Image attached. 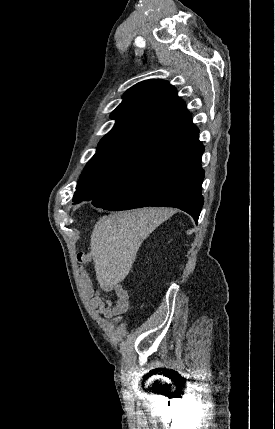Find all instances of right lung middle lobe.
<instances>
[{"mask_svg":"<svg viewBox=\"0 0 275 429\" xmlns=\"http://www.w3.org/2000/svg\"><path fill=\"white\" fill-rule=\"evenodd\" d=\"M149 157L122 149L97 152L80 177L75 202L94 200L131 176Z\"/></svg>","mask_w":275,"mask_h":429,"instance_id":"1","label":"right lung middle lobe"}]
</instances>
